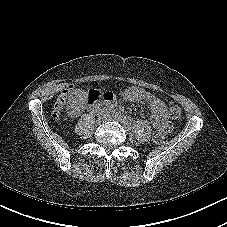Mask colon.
<instances>
[{"label":"colon","instance_id":"1","mask_svg":"<svg viewBox=\"0 0 227 227\" xmlns=\"http://www.w3.org/2000/svg\"><path fill=\"white\" fill-rule=\"evenodd\" d=\"M71 93V88H67L61 92V94L57 97L54 105L52 115L55 119H59L61 112L63 111L67 99ZM169 115L173 120H178L181 118V109L178 105L171 102L169 104ZM154 142L161 144L164 143L167 139L166 131L163 129H158L153 136Z\"/></svg>","mask_w":227,"mask_h":227}]
</instances>
